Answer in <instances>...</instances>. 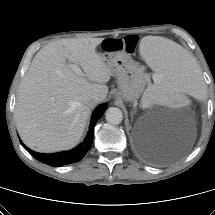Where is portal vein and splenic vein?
I'll return each mask as SVG.
<instances>
[{
    "mask_svg": "<svg viewBox=\"0 0 215 215\" xmlns=\"http://www.w3.org/2000/svg\"><path fill=\"white\" fill-rule=\"evenodd\" d=\"M71 68L78 74H82V70L80 69V67L78 66V64L74 63L70 65Z\"/></svg>",
    "mask_w": 215,
    "mask_h": 215,
    "instance_id": "18ae733b",
    "label": "portal vein and splenic vein"
}]
</instances>
